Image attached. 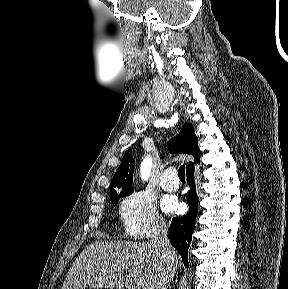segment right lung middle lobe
<instances>
[{
  "label": "right lung middle lobe",
  "mask_w": 288,
  "mask_h": 289,
  "mask_svg": "<svg viewBox=\"0 0 288 289\" xmlns=\"http://www.w3.org/2000/svg\"><path fill=\"white\" fill-rule=\"evenodd\" d=\"M132 192H133V189L132 190H127V191H111L110 192V199H111L112 202L117 203L119 198L128 196Z\"/></svg>",
  "instance_id": "dd1d6c3e"
}]
</instances>
